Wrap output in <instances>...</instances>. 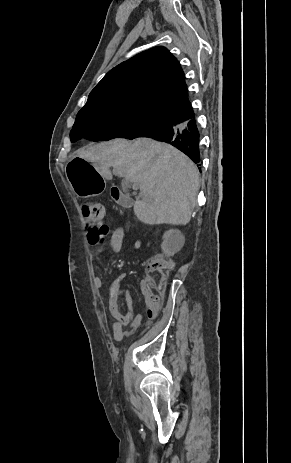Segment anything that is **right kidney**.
<instances>
[{
    "label": "right kidney",
    "instance_id": "1",
    "mask_svg": "<svg viewBox=\"0 0 291 463\" xmlns=\"http://www.w3.org/2000/svg\"><path fill=\"white\" fill-rule=\"evenodd\" d=\"M184 242L185 237L179 230L170 229L163 235L161 248L166 255L172 256L183 247Z\"/></svg>",
    "mask_w": 291,
    "mask_h": 463
}]
</instances>
